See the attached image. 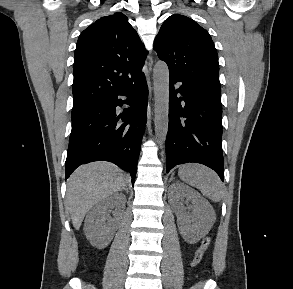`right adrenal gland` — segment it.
<instances>
[{"mask_svg": "<svg viewBox=\"0 0 293 289\" xmlns=\"http://www.w3.org/2000/svg\"><path fill=\"white\" fill-rule=\"evenodd\" d=\"M123 190H125V191H126V193H128V188H127V186H126V185L124 186ZM121 191H122V190H121Z\"/></svg>", "mask_w": 293, "mask_h": 289, "instance_id": "right-adrenal-gland-1", "label": "right adrenal gland"}]
</instances>
